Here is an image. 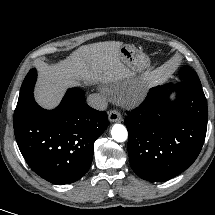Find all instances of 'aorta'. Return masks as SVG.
Segmentation results:
<instances>
[{
    "instance_id": "aorta-1",
    "label": "aorta",
    "mask_w": 215,
    "mask_h": 215,
    "mask_svg": "<svg viewBox=\"0 0 215 215\" xmlns=\"http://www.w3.org/2000/svg\"><path fill=\"white\" fill-rule=\"evenodd\" d=\"M111 135L115 141L124 142L128 137V132L122 124H115L111 129Z\"/></svg>"
}]
</instances>
